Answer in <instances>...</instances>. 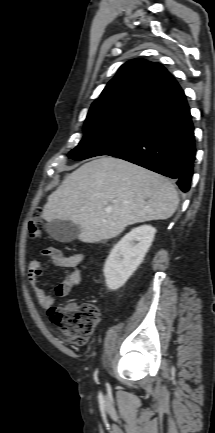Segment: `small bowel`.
I'll use <instances>...</instances> for the list:
<instances>
[{
  "mask_svg": "<svg viewBox=\"0 0 215 433\" xmlns=\"http://www.w3.org/2000/svg\"><path fill=\"white\" fill-rule=\"evenodd\" d=\"M43 253L53 266L64 271L65 277L56 285L54 292L58 297H67L71 290L81 282L82 271L80 264L84 260V254L74 253L65 256L59 249L54 247H46ZM41 270V262L38 259H32L28 264L27 274L39 305L44 309H48L54 304V299L50 294L45 292L39 282Z\"/></svg>",
  "mask_w": 215,
  "mask_h": 433,
  "instance_id": "obj_1",
  "label": "small bowel"
}]
</instances>
